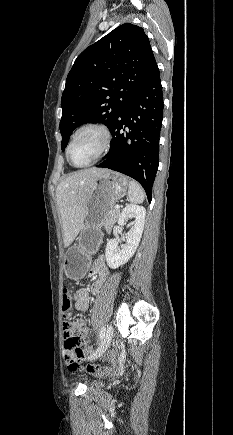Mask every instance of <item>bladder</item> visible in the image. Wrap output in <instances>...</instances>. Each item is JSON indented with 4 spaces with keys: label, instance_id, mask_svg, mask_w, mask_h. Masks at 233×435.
Here are the masks:
<instances>
[{
    "label": "bladder",
    "instance_id": "obj_1",
    "mask_svg": "<svg viewBox=\"0 0 233 435\" xmlns=\"http://www.w3.org/2000/svg\"><path fill=\"white\" fill-rule=\"evenodd\" d=\"M97 377H98V378H102V375H98Z\"/></svg>",
    "mask_w": 233,
    "mask_h": 435
}]
</instances>
